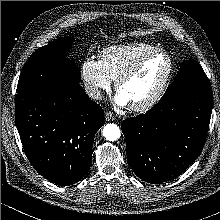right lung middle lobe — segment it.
<instances>
[{
	"label": "right lung middle lobe",
	"instance_id": "obj_1",
	"mask_svg": "<svg viewBox=\"0 0 220 220\" xmlns=\"http://www.w3.org/2000/svg\"><path fill=\"white\" fill-rule=\"evenodd\" d=\"M71 44V36H66L37 49L21 72L17 94L79 83L81 76L77 65L65 58Z\"/></svg>",
	"mask_w": 220,
	"mask_h": 220
}]
</instances>
